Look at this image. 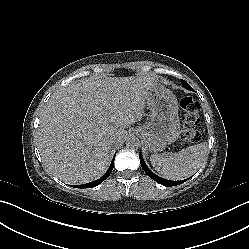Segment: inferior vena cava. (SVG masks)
I'll return each mask as SVG.
<instances>
[{"mask_svg":"<svg viewBox=\"0 0 249 249\" xmlns=\"http://www.w3.org/2000/svg\"><path fill=\"white\" fill-rule=\"evenodd\" d=\"M112 141H113V142H116V141H117V137L113 136V137H112Z\"/></svg>","mask_w":249,"mask_h":249,"instance_id":"inferior-vena-cava-1","label":"inferior vena cava"}]
</instances>
